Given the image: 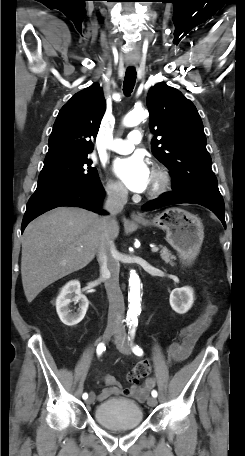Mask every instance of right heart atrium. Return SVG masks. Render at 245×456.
Listing matches in <instances>:
<instances>
[{"mask_svg": "<svg viewBox=\"0 0 245 456\" xmlns=\"http://www.w3.org/2000/svg\"><path fill=\"white\" fill-rule=\"evenodd\" d=\"M105 190L111 198L116 200H122L126 196V190L122 184L113 180L106 181Z\"/></svg>", "mask_w": 245, "mask_h": 456, "instance_id": "d8ad5b80", "label": "right heart atrium"}]
</instances>
